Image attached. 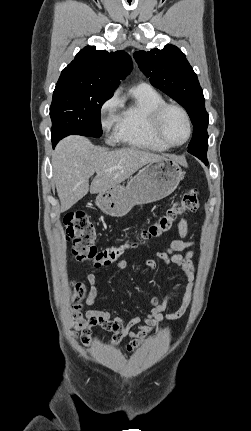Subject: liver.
I'll return each mask as SVG.
<instances>
[{
    "label": "liver",
    "instance_id": "liver-1",
    "mask_svg": "<svg viewBox=\"0 0 251 431\" xmlns=\"http://www.w3.org/2000/svg\"><path fill=\"white\" fill-rule=\"evenodd\" d=\"M163 158L131 147L106 151L83 136L64 138L52 155L53 180L61 212L69 210L89 190L96 194L119 186L144 165ZM94 173L96 176L89 187V178Z\"/></svg>",
    "mask_w": 251,
    "mask_h": 431
}]
</instances>
